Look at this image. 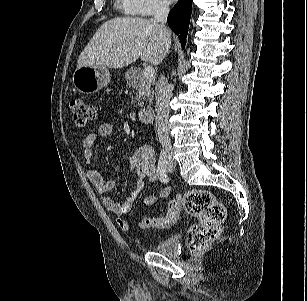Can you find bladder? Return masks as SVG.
I'll list each match as a JSON object with an SVG mask.
<instances>
[{
  "instance_id": "bladder-1",
  "label": "bladder",
  "mask_w": 307,
  "mask_h": 301,
  "mask_svg": "<svg viewBox=\"0 0 307 301\" xmlns=\"http://www.w3.org/2000/svg\"><path fill=\"white\" fill-rule=\"evenodd\" d=\"M180 237L178 235H171L160 240L154 251L163 255L173 256L177 254Z\"/></svg>"
}]
</instances>
